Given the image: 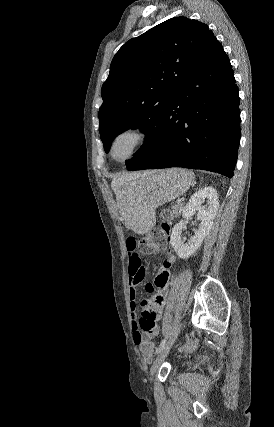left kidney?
I'll return each mask as SVG.
<instances>
[{"label": "left kidney", "instance_id": "left-kidney-1", "mask_svg": "<svg viewBox=\"0 0 274 427\" xmlns=\"http://www.w3.org/2000/svg\"><path fill=\"white\" fill-rule=\"evenodd\" d=\"M203 202H208L207 206H202ZM219 202L218 194L214 188H204L199 190L196 194L191 196L188 204H186L182 215L183 217H191L193 214H197V219L200 221L198 229H194V235L188 239L185 243V239H182L181 233L184 227V219H181L179 223H176L172 229L170 243L175 249L178 257L187 259L192 253L197 251L200 247L204 237L208 235L213 219L218 212Z\"/></svg>", "mask_w": 274, "mask_h": 427}]
</instances>
